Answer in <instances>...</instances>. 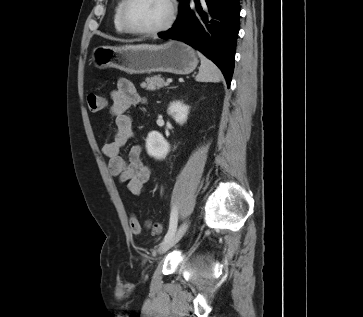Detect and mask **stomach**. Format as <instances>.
<instances>
[{
	"instance_id": "stomach-1",
	"label": "stomach",
	"mask_w": 363,
	"mask_h": 317,
	"mask_svg": "<svg viewBox=\"0 0 363 317\" xmlns=\"http://www.w3.org/2000/svg\"><path fill=\"white\" fill-rule=\"evenodd\" d=\"M95 67H113L130 74L168 72L185 75L198 64L196 53L189 45L176 40L153 47L115 48L100 46L93 50Z\"/></svg>"
}]
</instances>
